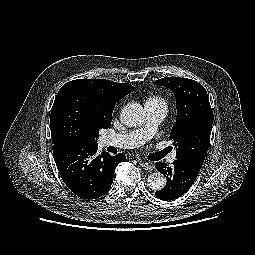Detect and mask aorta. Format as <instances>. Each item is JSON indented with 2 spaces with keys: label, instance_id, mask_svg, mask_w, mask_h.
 Instances as JSON below:
<instances>
[{
  "label": "aorta",
  "instance_id": "aorta-1",
  "mask_svg": "<svg viewBox=\"0 0 255 255\" xmlns=\"http://www.w3.org/2000/svg\"><path fill=\"white\" fill-rule=\"evenodd\" d=\"M120 121L128 127H136L145 121V113L141 104L129 103L121 111ZM148 186L159 191L166 185V178L159 172L151 173L147 179Z\"/></svg>",
  "mask_w": 255,
  "mask_h": 255
}]
</instances>
